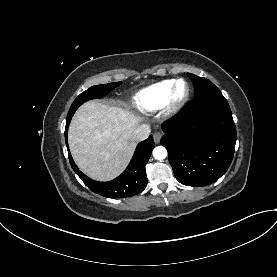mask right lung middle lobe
Instances as JSON below:
<instances>
[{"label": "right lung middle lobe", "instance_id": "1", "mask_svg": "<svg viewBox=\"0 0 277 277\" xmlns=\"http://www.w3.org/2000/svg\"><path fill=\"white\" fill-rule=\"evenodd\" d=\"M121 82H114V83H108L104 85H97V86H92L83 93H81L72 103L68 115H67V120L70 121L73 114L77 110V108L82 105L84 102L94 99V98H101L108 94L112 89L115 87L119 86Z\"/></svg>", "mask_w": 277, "mask_h": 277}]
</instances>
